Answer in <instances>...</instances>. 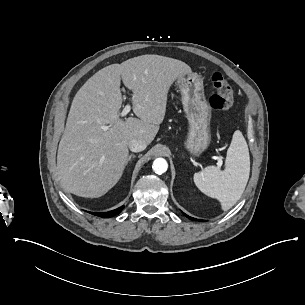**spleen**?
Masks as SVG:
<instances>
[{
  "label": "spleen",
  "instance_id": "obj_1",
  "mask_svg": "<svg viewBox=\"0 0 305 305\" xmlns=\"http://www.w3.org/2000/svg\"><path fill=\"white\" fill-rule=\"evenodd\" d=\"M225 170L208 167L193 175L195 186L206 196L217 200L226 211L241 197L250 173L249 151L241 132H233L226 153Z\"/></svg>",
  "mask_w": 305,
  "mask_h": 305
}]
</instances>
